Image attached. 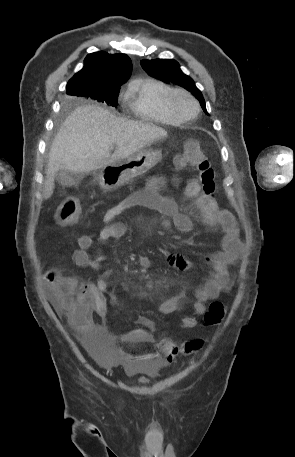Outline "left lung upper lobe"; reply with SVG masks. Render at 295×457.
Returning <instances> with one entry per match:
<instances>
[{"label":"left lung upper lobe","mask_w":295,"mask_h":457,"mask_svg":"<svg viewBox=\"0 0 295 457\" xmlns=\"http://www.w3.org/2000/svg\"><path fill=\"white\" fill-rule=\"evenodd\" d=\"M145 72L159 80H166L180 85L194 94L200 101V104L205 111V100L201 94V91L195 86L194 81L191 77L185 75L178 62L172 59H154V60H142L140 62Z\"/></svg>","instance_id":"5c2ea615"}]
</instances>
